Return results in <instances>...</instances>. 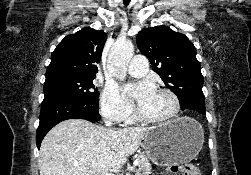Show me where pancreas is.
Returning a JSON list of instances; mask_svg holds the SVG:
<instances>
[{"mask_svg": "<svg viewBox=\"0 0 251 175\" xmlns=\"http://www.w3.org/2000/svg\"><path fill=\"white\" fill-rule=\"evenodd\" d=\"M136 159H138L139 161L138 163L139 167L137 169L136 175H149V173H151L152 167L151 163H149L147 155H144L143 151H140Z\"/></svg>", "mask_w": 251, "mask_h": 175, "instance_id": "pancreas-1", "label": "pancreas"}]
</instances>
